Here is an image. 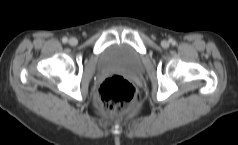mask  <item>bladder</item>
Returning a JSON list of instances; mask_svg holds the SVG:
<instances>
[{"mask_svg":"<svg viewBox=\"0 0 238 145\" xmlns=\"http://www.w3.org/2000/svg\"><path fill=\"white\" fill-rule=\"evenodd\" d=\"M97 68L102 71H120L140 74L143 69L140 54L131 46L115 43L106 46L98 56Z\"/></svg>","mask_w":238,"mask_h":145,"instance_id":"1","label":"bladder"}]
</instances>
